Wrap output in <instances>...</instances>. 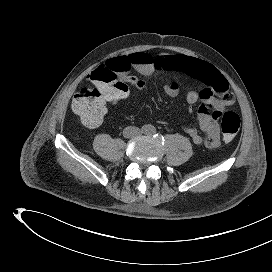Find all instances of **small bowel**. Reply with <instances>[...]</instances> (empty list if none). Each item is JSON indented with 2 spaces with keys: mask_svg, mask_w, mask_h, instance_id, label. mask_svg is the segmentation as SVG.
I'll return each instance as SVG.
<instances>
[{
  "mask_svg": "<svg viewBox=\"0 0 272 272\" xmlns=\"http://www.w3.org/2000/svg\"><path fill=\"white\" fill-rule=\"evenodd\" d=\"M106 66L118 69L120 77L139 90L147 89L145 79L152 76L155 71L167 73L170 78L164 85V91L171 97L180 93L186 79L196 82L199 88L188 90L185 99L189 105L201 103L198 121L205 137L190 125L185 126L184 130L196 145H204L208 148L219 146V125L217 118L209 112V108L222 113L234 103L235 99L228 81L212 64L183 55L152 56L145 52H136L112 58ZM131 69L137 71L143 78L132 75Z\"/></svg>",
  "mask_w": 272,
  "mask_h": 272,
  "instance_id": "small-bowel-1",
  "label": "small bowel"
}]
</instances>
